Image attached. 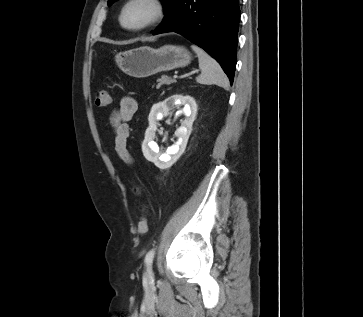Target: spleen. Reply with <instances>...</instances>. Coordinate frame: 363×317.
Wrapping results in <instances>:
<instances>
[{
    "mask_svg": "<svg viewBox=\"0 0 363 317\" xmlns=\"http://www.w3.org/2000/svg\"><path fill=\"white\" fill-rule=\"evenodd\" d=\"M191 48L198 56L201 69L196 81L200 84H216L227 89L229 80L220 64L200 47L192 45Z\"/></svg>",
    "mask_w": 363,
    "mask_h": 317,
    "instance_id": "1",
    "label": "spleen"
}]
</instances>
